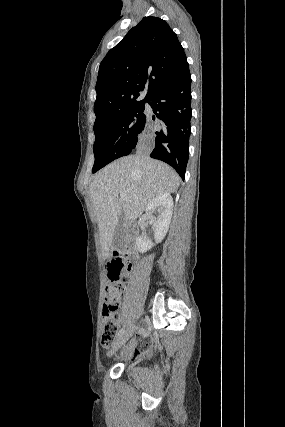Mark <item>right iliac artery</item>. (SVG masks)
Instances as JSON below:
<instances>
[{"instance_id":"obj_1","label":"right iliac artery","mask_w":285,"mask_h":427,"mask_svg":"<svg viewBox=\"0 0 285 427\" xmlns=\"http://www.w3.org/2000/svg\"><path fill=\"white\" fill-rule=\"evenodd\" d=\"M124 332H125V329H124V328H122V329L119 331L118 336H121Z\"/></svg>"}]
</instances>
